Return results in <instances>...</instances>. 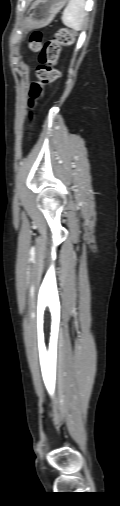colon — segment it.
<instances>
[{
    "instance_id": "obj_1",
    "label": "colon",
    "mask_w": 120,
    "mask_h": 506,
    "mask_svg": "<svg viewBox=\"0 0 120 506\" xmlns=\"http://www.w3.org/2000/svg\"><path fill=\"white\" fill-rule=\"evenodd\" d=\"M75 33L69 29H59L53 37L43 43L42 34L34 32L30 37V49L39 51V66L37 69V81L31 85L30 104L34 105L42 94V87L53 83L59 72L55 68L60 50L63 46H69L74 42Z\"/></svg>"
}]
</instances>
